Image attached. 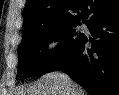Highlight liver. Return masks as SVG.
<instances>
[{"label": "liver", "instance_id": "1", "mask_svg": "<svg viewBox=\"0 0 119 95\" xmlns=\"http://www.w3.org/2000/svg\"><path fill=\"white\" fill-rule=\"evenodd\" d=\"M17 95H87L86 92L66 74L50 72L34 84L21 89Z\"/></svg>", "mask_w": 119, "mask_h": 95}]
</instances>
